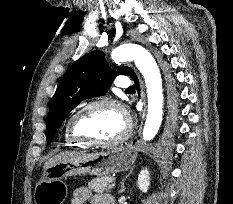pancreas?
<instances>
[{"instance_id":"pancreas-1","label":"pancreas","mask_w":233,"mask_h":204,"mask_svg":"<svg viewBox=\"0 0 233 204\" xmlns=\"http://www.w3.org/2000/svg\"><path fill=\"white\" fill-rule=\"evenodd\" d=\"M113 181L114 178L111 176L97 177L88 183V187L96 193H104L114 187L110 185Z\"/></svg>"}]
</instances>
